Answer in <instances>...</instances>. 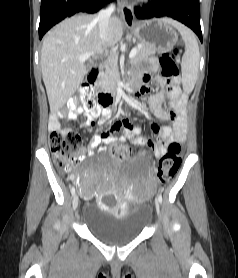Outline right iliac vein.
Returning a JSON list of instances; mask_svg holds the SVG:
<instances>
[{"instance_id": "obj_1", "label": "right iliac vein", "mask_w": 238, "mask_h": 278, "mask_svg": "<svg viewBox=\"0 0 238 278\" xmlns=\"http://www.w3.org/2000/svg\"><path fill=\"white\" fill-rule=\"evenodd\" d=\"M79 205V197L77 195L73 198V209L76 210Z\"/></svg>"}]
</instances>
